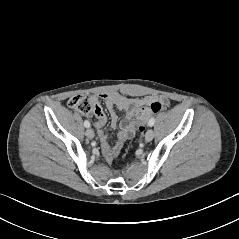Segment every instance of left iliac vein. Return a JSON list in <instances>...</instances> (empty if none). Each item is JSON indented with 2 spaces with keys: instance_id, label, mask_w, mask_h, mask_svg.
Instances as JSON below:
<instances>
[{
  "instance_id": "4c4485c4",
  "label": "left iliac vein",
  "mask_w": 239,
  "mask_h": 239,
  "mask_svg": "<svg viewBox=\"0 0 239 239\" xmlns=\"http://www.w3.org/2000/svg\"><path fill=\"white\" fill-rule=\"evenodd\" d=\"M154 137V131L152 128L148 129L145 134V141L150 142Z\"/></svg>"
}]
</instances>
